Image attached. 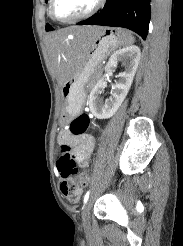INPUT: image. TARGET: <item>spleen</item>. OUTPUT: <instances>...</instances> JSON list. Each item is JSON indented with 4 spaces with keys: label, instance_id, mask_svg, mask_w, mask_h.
<instances>
[{
    "label": "spleen",
    "instance_id": "spleen-1",
    "mask_svg": "<svg viewBox=\"0 0 183 246\" xmlns=\"http://www.w3.org/2000/svg\"><path fill=\"white\" fill-rule=\"evenodd\" d=\"M124 33V43L123 45H130L134 43V37L131 35V33L123 32Z\"/></svg>",
    "mask_w": 183,
    "mask_h": 246
}]
</instances>
